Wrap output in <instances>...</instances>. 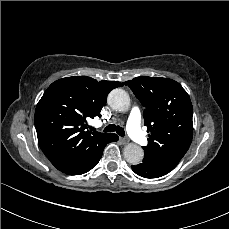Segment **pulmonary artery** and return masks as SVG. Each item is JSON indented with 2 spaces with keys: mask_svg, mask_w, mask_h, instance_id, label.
Here are the masks:
<instances>
[{
  "mask_svg": "<svg viewBox=\"0 0 229 229\" xmlns=\"http://www.w3.org/2000/svg\"><path fill=\"white\" fill-rule=\"evenodd\" d=\"M123 113H129L126 122V131L133 137V139L142 146H147L149 144V139L144 136L141 132L142 130V112L138 106H132L128 109L121 111Z\"/></svg>",
  "mask_w": 229,
  "mask_h": 229,
  "instance_id": "e3ab8cb5",
  "label": "pulmonary artery"
}]
</instances>
